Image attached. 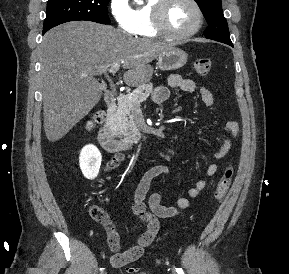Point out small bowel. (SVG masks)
<instances>
[{"label": "small bowel", "instance_id": "obj_1", "mask_svg": "<svg viewBox=\"0 0 289 274\" xmlns=\"http://www.w3.org/2000/svg\"><path fill=\"white\" fill-rule=\"evenodd\" d=\"M169 88H178L185 92L197 91L203 103L207 106L214 104L213 94L205 87L197 85L190 79L182 78L179 75H171L168 79V87L158 86L153 95V99L157 103L165 102L170 95ZM227 137L224 139L220 148L213 154V160L222 159L231 150L235 140L239 135V124L236 121H229L226 123ZM124 156L121 153H115L113 157L106 163L104 170L112 171L120 166L123 162ZM219 171L217 164H210L206 168L208 176H215ZM169 168L164 164H157L149 168L142 176L138 183L133 199L132 211L136 215L144 228L142 234L137 239V242L121 252L120 239L118 234L109 232L107 236V243L109 248L113 251L110 258V264L114 268L124 267L136 260H138L144 253V250L153 242L159 231V219H167L178 216L183 210L191 206L189 198H196L200 196L202 191L207 187L208 181L205 179L198 180L193 186L187 190L188 197L180 196L176 199V206H166L162 203L166 192L157 191L150 195L148 202L145 203L146 195L150 189L151 183L154 179L168 174Z\"/></svg>", "mask_w": 289, "mask_h": 274}]
</instances>
